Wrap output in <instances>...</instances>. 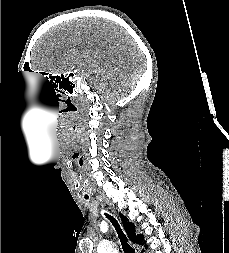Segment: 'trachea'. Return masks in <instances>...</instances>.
<instances>
[{
  "label": "trachea",
  "mask_w": 229,
  "mask_h": 253,
  "mask_svg": "<svg viewBox=\"0 0 229 253\" xmlns=\"http://www.w3.org/2000/svg\"><path fill=\"white\" fill-rule=\"evenodd\" d=\"M111 222L113 223V226L115 227L117 233L119 234V238L121 241V245L122 248L124 250L125 253H135V250L128 244V240L125 236V234L122 232V230L120 229V226L118 225V222L116 221V219H114L113 217L106 215Z\"/></svg>",
  "instance_id": "1"
}]
</instances>
